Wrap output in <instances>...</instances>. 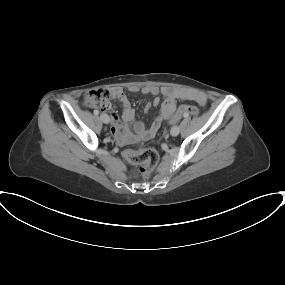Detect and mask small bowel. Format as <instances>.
<instances>
[{"label":"small bowel","instance_id":"c3829d8e","mask_svg":"<svg viewBox=\"0 0 285 285\" xmlns=\"http://www.w3.org/2000/svg\"><path fill=\"white\" fill-rule=\"evenodd\" d=\"M131 92H138L137 86L129 88ZM110 92L114 99H117L122 108V117L119 118L114 112L112 118V133L121 144H131L138 141H145L153 138L158 132L164 121L168 120L176 109V101L178 99L189 100L197 103L200 106H205L207 98L204 93L197 91H181L168 87L159 88L155 85H147L142 88L144 94L154 96L152 102L145 104V111L148 112L152 106H158L161 103L159 94L164 95V100L161 103L160 111L154 119L150 127H146L141 121H135V111L122 88L113 87Z\"/></svg>","mask_w":285,"mask_h":285}]
</instances>
